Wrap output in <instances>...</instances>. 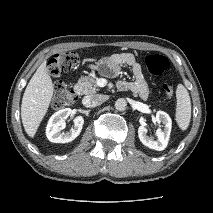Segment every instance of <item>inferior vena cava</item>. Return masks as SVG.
I'll list each match as a JSON object with an SVG mask.
<instances>
[{
    "mask_svg": "<svg viewBox=\"0 0 213 213\" xmlns=\"http://www.w3.org/2000/svg\"><path fill=\"white\" fill-rule=\"evenodd\" d=\"M106 100H107L106 95L94 94V95L85 96L82 100V103L86 107H95L102 104Z\"/></svg>",
    "mask_w": 213,
    "mask_h": 213,
    "instance_id": "inferior-vena-cava-1",
    "label": "inferior vena cava"
}]
</instances>
